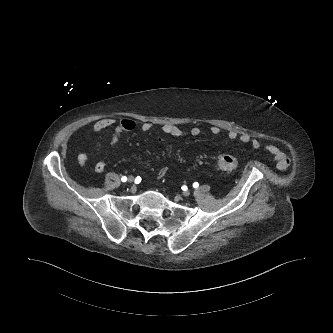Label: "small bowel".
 <instances>
[{
  "label": "small bowel",
  "instance_id": "obj_1",
  "mask_svg": "<svg viewBox=\"0 0 333 333\" xmlns=\"http://www.w3.org/2000/svg\"><path fill=\"white\" fill-rule=\"evenodd\" d=\"M115 125L114 130L112 132L110 141H109V147L111 150L116 149L119 143L120 136L124 132L132 131L136 128V122L132 119H122L120 122L116 123L115 119L113 118H103L99 121H97L91 131L90 135H97L104 131L107 128H110L111 126ZM141 130L143 132H147L152 128L151 123L144 122L140 126ZM162 131L169 136L173 137H183L187 134H190L192 136H199L202 131L199 127H192L190 130L183 129L177 125L174 124H165L162 127ZM210 132L212 135H219L221 130L217 126H212L210 128ZM227 137L231 141L239 140L243 143H251L252 147L254 149H258L261 147V143L257 138H253L250 135L246 133H238L237 131L231 130L228 132ZM265 150L270 153L275 161L277 162L278 166L280 167H287L291 164V161L289 157L276 145L268 144L265 147ZM78 164L81 167H86L89 157L85 153L79 154L78 158ZM106 164L104 161H98L95 164V172L98 174H101L105 171Z\"/></svg>",
  "mask_w": 333,
  "mask_h": 333
}]
</instances>
